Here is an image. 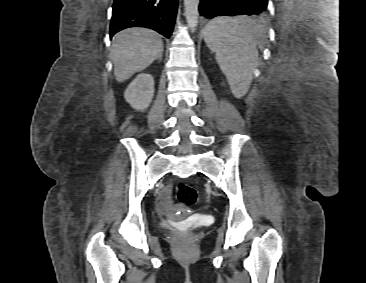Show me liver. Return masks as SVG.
<instances>
[{
    "label": "liver",
    "mask_w": 366,
    "mask_h": 283,
    "mask_svg": "<svg viewBox=\"0 0 366 283\" xmlns=\"http://www.w3.org/2000/svg\"><path fill=\"white\" fill-rule=\"evenodd\" d=\"M163 52L161 36L145 27H131L116 33L111 59L116 81L124 82L147 68Z\"/></svg>",
    "instance_id": "obj_1"
}]
</instances>
